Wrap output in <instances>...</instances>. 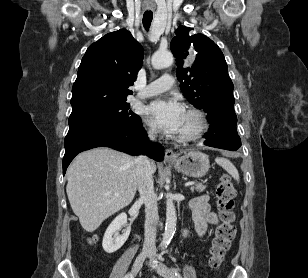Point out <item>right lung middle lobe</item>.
<instances>
[{"label": "right lung middle lobe", "instance_id": "dd1d6c3e", "mask_svg": "<svg viewBox=\"0 0 308 278\" xmlns=\"http://www.w3.org/2000/svg\"><path fill=\"white\" fill-rule=\"evenodd\" d=\"M126 102L116 105L96 109L86 113L70 116L68 123L70 127L95 124V125H115L133 127L142 123L140 117L131 110Z\"/></svg>", "mask_w": 308, "mask_h": 278}]
</instances>
